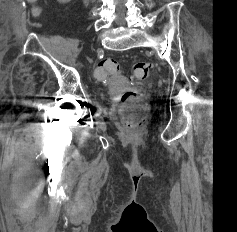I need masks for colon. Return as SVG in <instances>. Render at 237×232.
<instances>
[{"label":"colon","mask_w":237,"mask_h":232,"mask_svg":"<svg viewBox=\"0 0 237 232\" xmlns=\"http://www.w3.org/2000/svg\"><path fill=\"white\" fill-rule=\"evenodd\" d=\"M31 2L35 0H30ZM150 64L147 62H137L133 65L130 74L134 81H141L148 77ZM119 64L114 59H103L98 62L96 75L99 78L107 76H116L120 74ZM148 106L145 99V93L142 90L134 89L126 92L122 96L120 115L123 125L126 129H139L146 118Z\"/></svg>","instance_id":"5ec220e1"}]
</instances>
